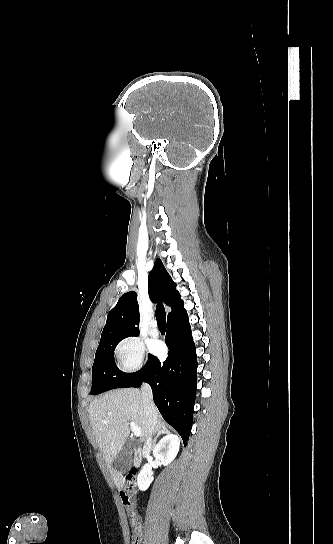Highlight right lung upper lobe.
Instances as JSON below:
<instances>
[{
	"label": "right lung upper lobe",
	"mask_w": 333,
	"mask_h": 544,
	"mask_svg": "<svg viewBox=\"0 0 333 544\" xmlns=\"http://www.w3.org/2000/svg\"><path fill=\"white\" fill-rule=\"evenodd\" d=\"M148 293L151 300H163L166 305L171 307L172 311L168 314L167 319L186 313L180 294L176 291V283L171 279L160 259L156 260L149 273ZM139 319L137 294L134 291H129L119 298L116 306L108 313L101 339L116 336H138Z\"/></svg>",
	"instance_id": "right-lung-upper-lobe-1"
}]
</instances>
